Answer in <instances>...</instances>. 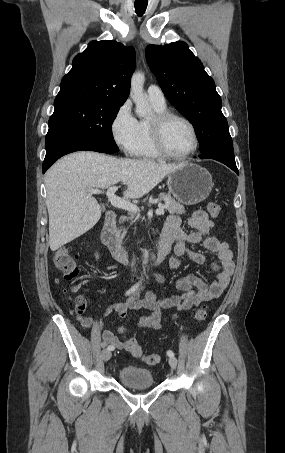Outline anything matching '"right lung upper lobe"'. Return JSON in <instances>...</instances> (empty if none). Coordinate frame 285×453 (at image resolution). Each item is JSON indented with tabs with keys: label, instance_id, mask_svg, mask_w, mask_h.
I'll return each mask as SVG.
<instances>
[{
	"label": "right lung upper lobe",
	"instance_id": "obj_1",
	"mask_svg": "<svg viewBox=\"0 0 285 453\" xmlns=\"http://www.w3.org/2000/svg\"><path fill=\"white\" fill-rule=\"evenodd\" d=\"M55 100L103 98L124 103L135 68V50L112 40L91 41L75 56Z\"/></svg>",
	"mask_w": 285,
	"mask_h": 453
}]
</instances>
